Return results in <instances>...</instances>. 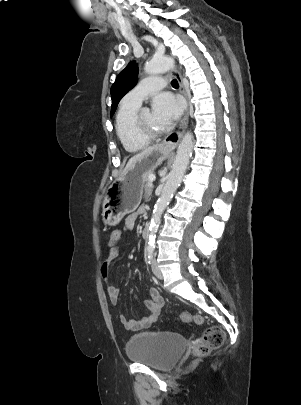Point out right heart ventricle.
Here are the masks:
<instances>
[{
	"mask_svg": "<svg viewBox=\"0 0 301 405\" xmlns=\"http://www.w3.org/2000/svg\"><path fill=\"white\" fill-rule=\"evenodd\" d=\"M138 110L139 106L121 103L115 118L117 136L129 153H136L149 144V140L137 136L133 130V119Z\"/></svg>",
	"mask_w": 301,
	"mask_h": 405,
	"instance_id": "right-heart-ventricle-1",
	"label": "right heart ventricle"
}]
</instances>
